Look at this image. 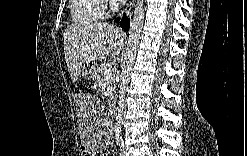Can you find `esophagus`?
Masks as SVG:
<instances>
[{
    "mask_svg": "<svg viewBox=\"0 0 247 156\" xmlns=\"http://www.w3.org/2000/svg\"><path fill=\"white\" fill-rule=\"evenodd\" d=\"M135 6V0H130L127 4V7L125 9V12H126V15L127 16H130L132 11H133V8Z\"/></svg>",
    "mask_w": 247,
    "mask_h": 156,
    "instance_id": "obj_1",
    "label": "esophagus"
}]
</instances>
